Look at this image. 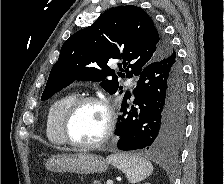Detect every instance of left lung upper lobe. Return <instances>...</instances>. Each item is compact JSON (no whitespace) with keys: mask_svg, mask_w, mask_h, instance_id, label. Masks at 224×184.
<instances>
[{"mask_svg":"<svg viewBox=\"0 0 224 184\" xmlns=\"http://www.w3.org/2000/svg\"><path fill=\"white\" fill-rule=\"evenodd\" d=\"M173 53L176 54L169 41L143 9L115 7L62 45L41 100L49 99L75 80L100 81L104 90L114 94L122 87L115 71L107 66L109 60H123V64H118L121 71L118 75L132 77ZM107 76H112V80L106 79Z\"/></svg>","mask_w":224,"mask_h":184,"instance_id":"left-lung-upper-lobe-1","label":"left lung upper lobe"}]
</instances>
